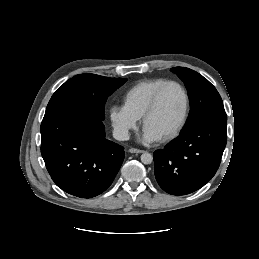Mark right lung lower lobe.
<instances>
[{
    "label": "right lung lower lobe",
    "instance_id": "right-lung-lower-lobe-1",
    "mask_svg": "<svg viewBox=\"0 0 259 259\" xmlns=\"http://www.w3.org/2000/svg\"><path fill=\"white\" fill-rule=\"evenodd\" d=\"M41 154L46 168L63 191L92 198L113 182L124 160V148L105 138L97 116L67 111L43 119Z\"/></svg>",
    "mask_w": 259,
    "mask_h": 259
}]
</instances>
